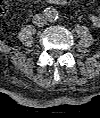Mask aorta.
Listing matches in <instances>:
<instances>
[{
  "label": "aorta",
  "mask_w": 100,
  "mask_h": 118,
  "mask_svg": "<svg viewBox=\"0 0 100 118\" xmlns=\"http://www.w3.org/2000/svg\"><path fill=\"white\" fill-rule=\"evenodd\" d=\"M44 16L46 17L47 21L54 22L59 18V13L56 9L52 7H48L43 12Z\"/></svg>",
  "instance_id": "762f6f07"
}]
</instances>
